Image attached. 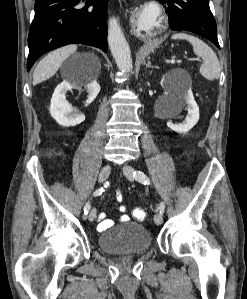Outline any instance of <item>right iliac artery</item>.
I'll return each instance as SVG.
<instances>
[{
	"instance_id": "right-iliac-artery-1",
	"label": "right iliac artery",
	"mask_w": 247,
	"mask_h": 299,
	"mask_svg": "<svg viewBox=\"0 0 247 299\" xmlns=\"http://www.w3.org/2000/svg\"><path fill=\"white\" fill-rule=\"evenodd\" d=\"M103 191H104V188L101 187V188L97 189V190L93 193V195H94V196H99V195L102 194ZM90 207H91L90 203H87V204L85 205V207H84V213H85V214H88V212H89V210H90Z\"/></svg>"
}]
</instances>
